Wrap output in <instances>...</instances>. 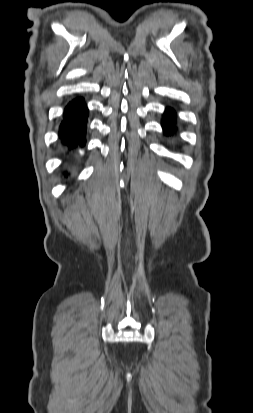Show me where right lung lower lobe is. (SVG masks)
<instances>
[{
	"label": "right lung lower lobe",
	"instance_id": "obj_1",
	"mask_svg": "<svg viewBox=\"0 0 253 413\" xmlns=\"http://www.w3.org/2000/svg\"><path fill=\"white\" fill-rule=\"evenodd\" d=\"M88 109L82 98L71 101L64 111L59 128L62 143L70 150L75 146H84Z\"/></svg>",
	"mask_w": 253,
	"mask_h": 413
}]
</instances>
